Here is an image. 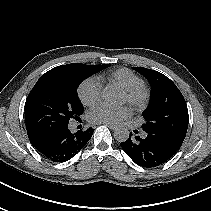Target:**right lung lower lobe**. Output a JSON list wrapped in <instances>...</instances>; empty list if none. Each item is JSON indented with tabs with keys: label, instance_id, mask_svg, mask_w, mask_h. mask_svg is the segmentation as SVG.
Returning <instances> with one entry per match:
<instances>
[{
	"label": "right lung lower lobe",
	"instance_id": "right-lung-lower-lobe-1",
	"mask_svg": "<svg viewBox=\"0 0 211 211\" xmlns=\"http://www.w3.org/2000/svg\"><path fill=\"white\" fill-rule=\"evenodd\" d=\"M94 130L71 133L68 124L48 130L28 132L35 149L52 162H65L75 156L90 140Z\"/></svg>",
	"mask_w": 211,
	"mask_h": 211
}]
</instances>
